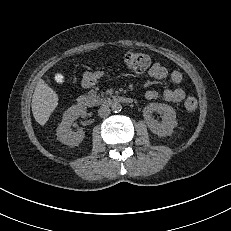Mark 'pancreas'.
Instances as JSON below:
<instances>
[{"instance_id":"pancreas-1","label":"pancreas","mask_w":231,"mask_h":231,"mask_svg":"<svg viewBox=\"0 0 231 231\" xmlns=\"http://www.w3.org/2000/svg\"><path fill=\"white\" fill-rule=\"evenodd\" d=\"M89 95H90V97H92L97 102H100L103 100L102 97H103L104 93L102 92L101 94H97V92L95 90H91L89 92Z\"/></svg>"}]
</instances>
